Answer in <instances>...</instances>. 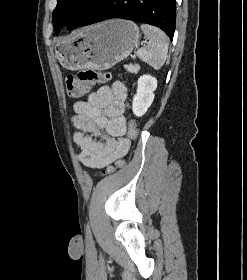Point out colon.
Listing matches in <instances>:
<instances>
[{
	"instance_id": "5ec220e1",
	"label": "colon",
	"mask_w": 247,
	"mask_h": 280,
	"mask_svg": "<svg viewBox=\"0 0 247 280\" xmlns=\"http://www.w3.org/2000/svg\"><path fill=\"white\" fill-rule=\"evenodd\" d=\"M109 73L101 72L94 69H83L77 75H70L66 78L67 95L72 98L81 97L86 94L90 88L96 84H101L108 81ZM128 137L135 141L139 135V127L135 120H131L128 125ZM123 160L116 162L115 166H109L103 174L114 172L117 168L124 165Z\"/></svg>"
}]
</instances>
